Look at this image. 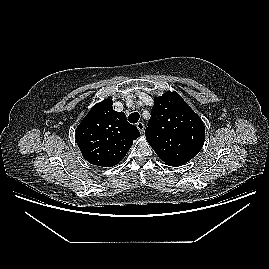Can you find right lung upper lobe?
Returning <instances> with one entry per match:
<instances>
[{
    "instance_id": "1",
    "label": "right lung upper lobe",
    "mask_w": 269,
    "mask_h": 269,
    "mask_svg": "<svg viewBox=\"0 0 269 269\" xmlns=\"http://www.w3.org/2000/svg\"><path fill=\"white\" fill-rule=\"evenodd\" d=\"M112 100L96 104L78 125L75 139L83 157L93 165H117L129 151L139 130L129 124L123 112L112 108Z\"/></svg>"
}]
</instances>
